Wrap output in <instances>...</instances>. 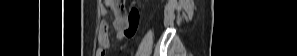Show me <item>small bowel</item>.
<instances>
[{"label":"small bowel","instance_id":"obj_1","mask_svg":"<svg viewBox=\"0 0 297 56\" xmlns=\"http://www.w3.org/2000/svg\"><path fill=\"white\" fill-rule=\"evenodd\" d=\"M104 6L105 7L101 10L103 15L107 13V9L111 10L114 15L113 26L117 32V37L119 39L132 37L136 32L139 22L137 11L132 10L131 13L126 16L123 10V3L116 0H105ZM109 47L108 24L103 21L98 36L97 56H105Z\"/></svg>","mask_w":297,"mask_h":56}]
</instances>
